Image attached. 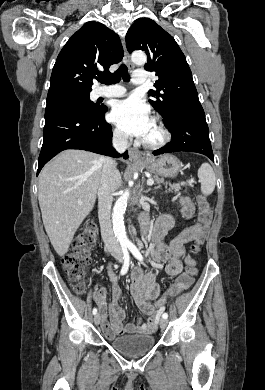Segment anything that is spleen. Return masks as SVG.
I'll return each mask as SVG.
<instances>
[{
    "label": "spleen",
    "instance_id": "1",
    "mask_svg": "<svg viewBox=\"0 0 265 390\" xmlns=\"http://www.w3.org/2000/svg\"><path fill=\"white\" fill-rule=\"evenodd\" d=\"M198 178L201 183V192L208 196L212 194L216 185V177L213 168L208 163H203L198 169Z\"/></svg>",
    "mask_w": 265,
    "mask_h": 390
}]
</instances>
